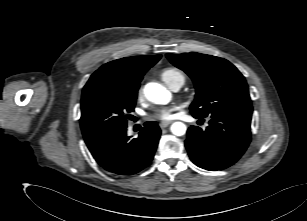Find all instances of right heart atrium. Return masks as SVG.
<instances>
[{
    "instance_id": "obj_1",
    "label": "right heart atrium",
    "mask_w": 307,
    "mask_h": 221,
    "mask_svg": "<svg viewBox=\"0 0 307 221\" xmlns=\"http://www.w3.org/2000/svg\"><path fill=\"white\" fill-rule=\"evenodd\" d=\"M136 97L138 100L143 98V88L142 86H139L137 91H136Z\"/></svg>"
}]
</instances>
